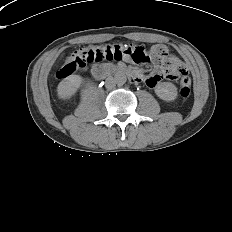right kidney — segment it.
I'll return each mask as SVG.
<instances>
[{"label":"right kidney","mask_w":232,"mask_h":232,"mask_svg":"<svg viewBox=\"0 0 232 232\" xmlns=\"http://www.w3.org/2000/svg\"><path fill=\"white\" fill-rule=\"evenodd\" d=\"M83 83V79L77 75H72L62 80L58 87V96L61 99H69L73 96Z\"/></svg>","instance_id":"ca27d5eb"}]
</instances>
